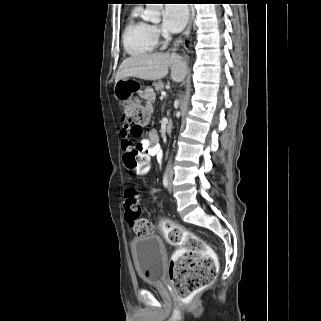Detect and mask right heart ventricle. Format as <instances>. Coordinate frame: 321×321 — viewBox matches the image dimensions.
<instances>
[{"label":"right heart ventricle","mask_w":321,"mask_h":321,"mask_svg":"<svg viewBox=\"0 0 321 321\" xmlns=\"http://www.w3.org/2000/svg\"><path fill=\"white\" fill-rule=\"evenodd\" d=\"M140 8H134L124 27L123 46L131 56H141L153 52L157 45V35L152 26L139 16Z\"/></svg>","instance_id":"right-heart-ventricle-1"}]
</instances>
